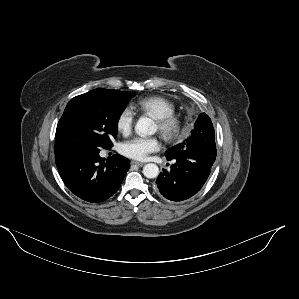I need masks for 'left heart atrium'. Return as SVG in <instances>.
Segmentation results:
<instances>
[{"instance_id": "obj_1", "label": "left heart atrium", "mask_w": 299, "mask_h": 299, "mask_svg": "<svg viewBox=\"0 0 299 299\" xmlns=\"http://www.w3.org/2000/svg\"><path fill=\"white\" fill-rule=\"evenodd\" d=\"M160 146L161 143L156 137H134L123 142L119 151L128 158L144 160L150 153L158 151Z\"/></svg>"}]
</instances>
